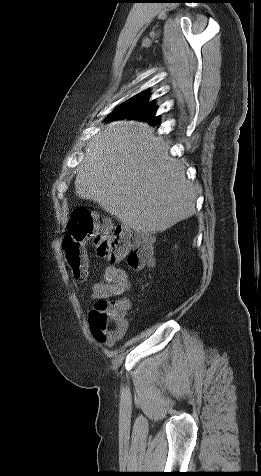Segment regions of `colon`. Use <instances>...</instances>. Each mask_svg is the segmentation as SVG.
I'll return each instance as SVG.
<instances>
[{"mask_svg": "<svg viewBox=\"0 0 261 476\" xmlns=\"http://www.w3.org/2000/svg\"><path fill=\"white\" fill-rule=\"evenodd\" d=\"M63 244L69 268L78 280L83 279L87 273L88 247H93L100 258L112 262L125 260L135 271L153 262V247L149 239L134 234L126 227H113L87 207L73 211ZM127 311L123 300L96 301L90 312L94 337L104 344L114 343L126 330Z\"/></svg>", "mask_w": 261, "mask_h": 476, "instance_id": "5ec220e1", "label": "colon"}]
</instances>
